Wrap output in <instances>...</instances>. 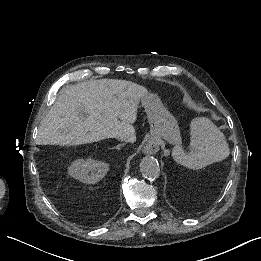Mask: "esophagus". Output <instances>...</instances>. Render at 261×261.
I'll return each mask as SVG.
<instances>
[{
    "instance_id": "obj_1",
    "label": "esophagus",
    "mask_w": 261,
    "mask_h": 261,
    "mask_svg": "<svg viewBox=\"0 0 261 261\" xmlns=\"http://www.w3.org/2000/svg\"><path fill=\"white\" fill-rule=\"evenodd\" d=\"M159 151V143L157 141H149L143 149L145 155H154Z\"/></svg>"
}]
</instances>
